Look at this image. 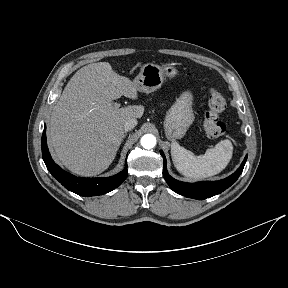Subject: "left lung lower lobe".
Instances as JSON below:
<instances>
[{
	"instance_id": "left-lung-lower-lobe-1",
	"label": "left lung lower lobe",
	"mask_w": 288,
	"mask_h": 288,
	"mask_svg": "<svg viewBox=\"0 0 288 288\" xmlns=\"http://www.w3.org/2000/svg\"><path fill=\"white\" fill-rule=\"evenodd\" d=\"M160 153L164 159L163 175L167 184L170 186V188L180 195H183L189 198L198 199V200H203V199L215 196L217 194H220L221 192L226 190L228 187H230L242 173L244 165L247 160V156H246L241 166L236 170V172H234L232 175H230L229 177L225 179H222L219 181H203V182H197V183H186V182L178 181L168 174L167 166H166V157L163 151H160Z\"/></svg>"
}]
</instances>
